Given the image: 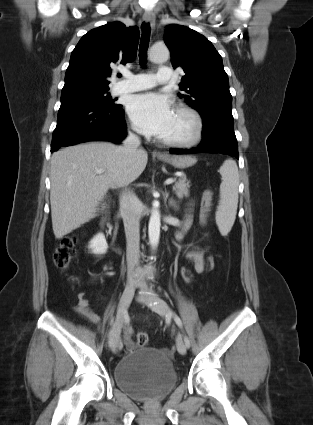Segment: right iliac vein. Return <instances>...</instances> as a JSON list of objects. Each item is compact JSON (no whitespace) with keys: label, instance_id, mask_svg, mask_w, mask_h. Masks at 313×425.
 <instances>
[{"label":"right iliac vein","instance_id":"63e3f726","mask_svg":"<svg viewBox=\"0 0 313 425\" xmlns=\"http://www.w3.org/2000/svg\"><path fill=\"white\" fill-rule=\"evenodd\" d=\"M137 285L134 283H129L126 285L125 290L122 294V297L120 299L119 302V308H118V321L114 327V329L112 330L111 334H110V338H109V345L111 347L112 350H114L119 343V337H120V332H121V328H122V322H123V318L124 315L127 311V308L134 296V292L136 289Z\"/></svg>","mask_w":313,"mask_h":425}]
</instances>
